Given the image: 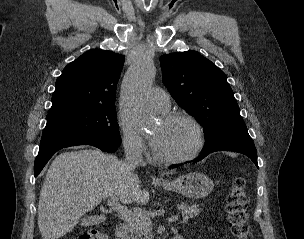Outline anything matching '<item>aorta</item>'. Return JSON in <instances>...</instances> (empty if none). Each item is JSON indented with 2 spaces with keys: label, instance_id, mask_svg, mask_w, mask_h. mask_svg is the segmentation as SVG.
I'll return each instance as SVG.
<instances>
[{
  "label": "aorta",
  "instance_id": "aorta-1",
  "mask_svg": "<svg viewBox=\"0 0 304 239\" xmlns=\"http://www.w3.org/2000/svg\"><path fill=\"white\" fill-rule=\"evenodd\" d=\"M154 77L153 61L149 57H141L134 63L122 84L123 104L140 125H147L152 119L146 93L153 84Z\"/></svg>",
  "mask_w": 304,
  "mask_h": 239
}]
</instances>
